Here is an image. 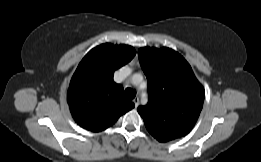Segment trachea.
Returning <instances> with one entry per match:
<instances>
[{"mask_svg":"<svg viewBox=\"0 0 261 162\" xmlns=\"http://www.w3.org/2000/svg\"><path fill=\"white\" fill-rule=\"evenodd\" d=\"M135 96H136L135 90H133V89H131V88H127V89L125 90V97H126L128 100H132Z\"/></svg>","mask_w":261,"mask_h":162,"instance_id":"3493384b","label":"trachea"}]
</instances>
